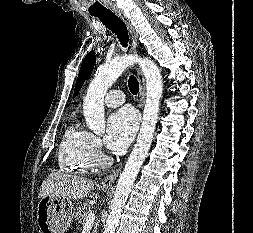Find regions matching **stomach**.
<instances>
[{
	"mask_svg": "<svg viewBox=\"0 0 253 233\" xmlns=\"http://www.w3.org/2000/svg\"><path fill=\"white\" fill-rule=\"evenodd\" d=\"M73 212V204L68 199L56 196L41 198L37 208L40 233H64L70 226Z\"/></svg>",
	"mask_w": 253,
	"mask_h": 233,
	"instance_id": "0dacf381",
	"label": "stomach"
}]
</instances>
